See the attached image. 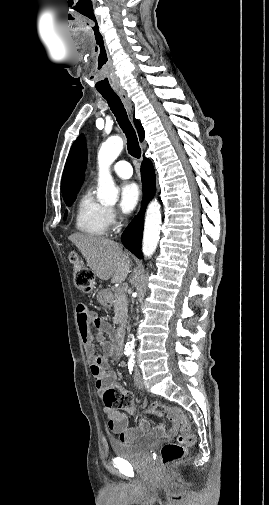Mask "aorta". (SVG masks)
Listing matches in <instances>:
<instances>
[{"mask_svg":"<svg viewBox=\"0 0 269 505\" xmlns=\"http://www.w3.org/2000/svg\"><path fill=\"white\" fill-rule=\"evenodd\" d=\"M123 149V139L120 136L109 137L98 152L99 178L98 199L106 204H115L118 199V189L110 174V165L115 161ZM160 204L155 199L147 207L143 234L142 251L144 256L151 257L160 238L161 212ZM125 349L133 351L134 340L126 343Z\"/></svg>","mask_w":269,"mask_h":505,"instance_id":"obj_1","label":"aorta"}]
</instances>
